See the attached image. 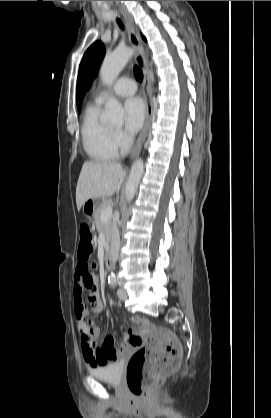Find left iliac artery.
Wrapping results in <instances>:
<instances>
[{
  "label": "left iliac artery",
  "instance_id": "left-iliac-artery-1",
  "mask_svg": "<svg viewBox=\"0 0 271 418\" xmlns=\"http://www.w3.org/2000/svg\"><path fill=\"white\" fill-rule=\"evenodd\" d=\"M115 284H116V283L114 282V283L112 284V286H113V287H115Z\"/></svg>",
  "mask_w": 271,
  "mask_h": 418
}]
</instances>
